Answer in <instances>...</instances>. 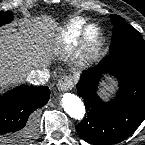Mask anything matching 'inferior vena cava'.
<instances>
[{"mask_svg":"<svg viewBox=\"0 0 145 145\" xmlns=\"http://www.w3.org/2000/svg\"><path fill=\"white\" fill-rule=\"evenodd\" d=\"M49 79V72L43 70H33L27 76V81L34 85L45 84Z\"/></svg>","mask_w":145,"mask_h":145,"instance_id":"602c4592","label":"inferior vena cava"}]
</instances>
